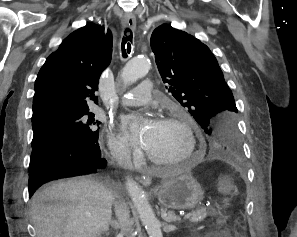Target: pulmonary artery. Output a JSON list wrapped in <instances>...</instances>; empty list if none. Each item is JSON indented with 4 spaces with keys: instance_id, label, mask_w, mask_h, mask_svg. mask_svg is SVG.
Wrapping results in <instances>:
<instances>
[{
    "instance_id": "e3ab8cb5",
    "label": "pulmonary artery",
    "mask_w": 297,
    "mask_h": 237,
    "mask_svg": "<svg viewBox=\"0 0 297 237\" xmlns=\"http://www.w3.org/2000/svg\"><path fill=\"white\" fill-rule=\"evenodd\" d=\"M125 76H128V72H125ZM153 93V83L146 79L140 83V85L130 92L126 93L120 103L129 106H138L146 104Z\"/></svg>"
}]
</instances>
